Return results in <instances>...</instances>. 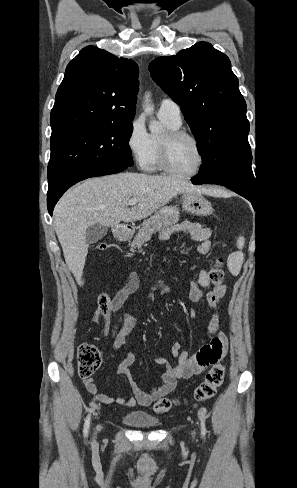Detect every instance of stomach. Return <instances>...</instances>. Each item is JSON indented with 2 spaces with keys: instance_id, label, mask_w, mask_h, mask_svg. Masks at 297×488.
<instances>
[{
  "instance_id": "stomach-1",
  "label": "stomach",
  "mask_w": 297,
  "mask_h": 488,
  "mask_svg": "<svg viewBox=\"0 0 297 488\" xmlns=\"http://www.w3.org/2000/svg\"><path fill=\"white\" fill-rule=\"evenodd\" d=\"M183 209L195 216H208L212 214L213 208L201 193L183 192ZM120 237H127L125 232L119 234Z\"/></svg>"
}]
</instances>
